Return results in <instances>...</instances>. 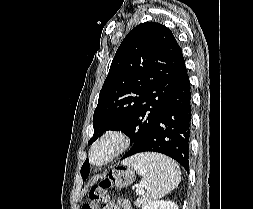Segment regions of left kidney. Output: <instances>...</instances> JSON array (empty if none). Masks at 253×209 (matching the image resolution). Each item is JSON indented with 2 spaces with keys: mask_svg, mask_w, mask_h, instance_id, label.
Returning <instances> with one entry per match:
<instances>
[{
  "mask_svg": "<svg viewBox=\"0 0 253 209\" xmlns=\"http://www.w3.org/2000/svg\"><path fill=\"white\" fill-rule=\"evenodd\" d=\"M142 209H178V206L171 201L154 200L143 206Z\"/></svg>",
  "mask_w": 253,
  "mask_h": 209,
  "instance_id": "obj_1",
  "label": "left kidney"
}]
</instances>
